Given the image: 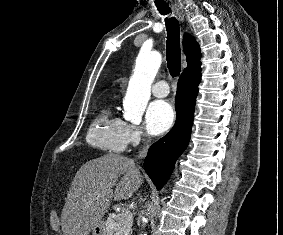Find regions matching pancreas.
Returning a JSON list of instances; mask_svg holds the SVG:
<instances>
[{
    "mask_svg": "<svg viewBox=\"0 0 283 235\" xmlns=\"http://www.w3.org/2000/svg\"><path fill=\"white\" fill-rule=\"evenodd\" d=\"M133 215L131 213L124 215L122 213L109 214L106 225L109 235H131L132 234Z\"/></svg>",
    "mask_w": 283,
    "mask_h": 235,
    "instance_id": "cf45deb5",
    "label": "pancreas"
}]
</instances>
